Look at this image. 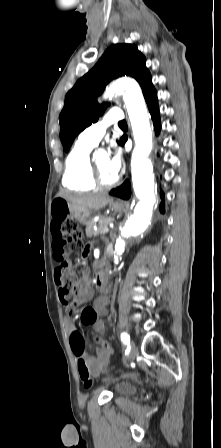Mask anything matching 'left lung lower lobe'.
<instances>
[{"mask_svg":"<svg viewBox=\"0 0 221 448\" xmlns=\"http://www.w3.org/2000/svg\"><path fill=\"white\" fill-rule=\"evenodd\" d=\"M145 100L147 102L149 112L151 115L152 120L154 121V127L156 131V135H158L160 130V121H159V109H158V101H157V92L153 88L148 90L144 94ZM125 139L122 138L120 145H123L125 143ZM161 197L163 198V193L161 192ZM110 195L122 198V199H129L131 196V185L130 182L127 180L125 181L120 187L113 189L110 191ZM160 211L164 212V203L162 202L160 204Z\"/></svg>","mask_w":221,"mask_h":448,"instance_id":"obj_1","label":"left lung lower lobe"}]
</instances>
